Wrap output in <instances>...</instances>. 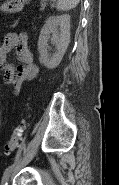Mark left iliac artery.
Returning a JSON list of instances; mask_svg holds the SVG:
<instances>
[{
	"label": "left iliac artery",
	"mask_w": 119,
	"mask_h": 185,
	"mask_svg": "<svg viewBox=\"0 0 119 185\" xmlns=\"http://www.w3.org/2000/svg\"><path fill=\"white\" fill-rule=\"evenodd\" d=\"M13 167H14V164L8 166V167L5 169V171H4V173H3V176H2L1 185H8L7 180H8V177H9V175H10V173H11Z\"/></svg>",
	"instance_id": "obj_1"
}]
</instances>
